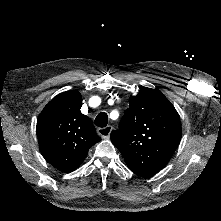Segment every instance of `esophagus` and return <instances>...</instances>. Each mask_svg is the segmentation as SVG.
<instances>
[{"mask_svg": "<svg viewBox=\"0 0 221 221\" xmlns=\"http://www.w3.org/2000/svg\"><path fill=\"white\" fill-rule=\"evenodd\" d=\"M113 127L111 125L105 126L103 128H98L97 133L103 138V139H109L110 134L112 131Z\"/></svg>", "mask_w": 221, "mask_h": 221, "instance_id": "34e87169", "label": "esophagus"}]
</instances>
